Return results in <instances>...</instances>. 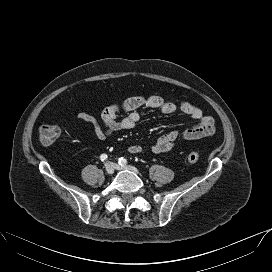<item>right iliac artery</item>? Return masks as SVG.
<instances>
[{
	"mask_svg": "<svg viewBox=\"0 0 272 272\" xmlns=\"http://www.w3.org/2000/svg\"><path fill=\"white\" fill-rule=\"evenodd\" d=\"M107 155L106 154H102L101 156H100V160L101 161H105V160H107Z\"/></svg>",
	"mask_w": 272,
	"mask_h": 272,
	"instance_id": "right-iliac-artery-1",
	"label": "right iliac artery"
}]
</instances>
